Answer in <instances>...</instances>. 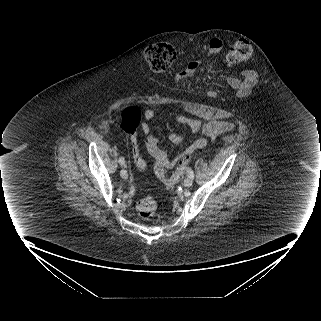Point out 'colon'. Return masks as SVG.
Listing matches in <instances>:
<instances>
[{"instance_id": "1", "label": "colon", "mask_w": 321, "mask_h": 321, "mask_svg": "<svg viewBox=\"0 0 321 321\" xmlns=\"http://www.w3.org/2000/svg\"><path fill=\"white\" fill-rule=\"evenodd\" d=\"M252 47L246 40L237 41L230 49L226 56L228 65L239 64L250 57ZM145 60L150 68L157 73H166L170 70L176 57V51L173 45L169 43H158L149 46L145 51ZM142 118V110L138 106H125L118 113V122L122 130L129 134L135 133ZM198 143H201L199 141ZM134 162L138 169L145 168V161L140 155L137 145L133 140ZM189 157H184L180 160L177 170L170 176L159 175L168 187L176 185L183 177ZM157 204L153 197H144L136 204V209L139 216L143 220L151 219L156 211Z\"/></svg>"}]
</instances>
